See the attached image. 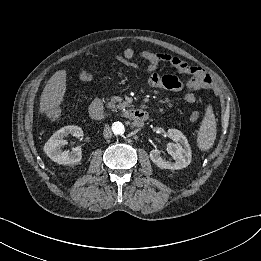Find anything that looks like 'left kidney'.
Returning a JSON list of instances; mask_svg holds the SVG:
<instances>
[{
  "label": "left kidney",
  "instance_id": "1",
  "mask_svg": "<svg viewBox=\"0 0 261 261\" xmlns=\"http://www.w3.org/2000/svg\"><path fill=\"white\" fill-rule=\"evenodd\" d=\"M168 136L175 143L167 144V152L174 158V162L166 161L160 157V151L154 149L150 152V159L161 169L178 170L191 163V149L185 135L177 129H168Z\"/></svg>",
  "mask_w": 261,
  "mask_h": 261
}]
</instances>
